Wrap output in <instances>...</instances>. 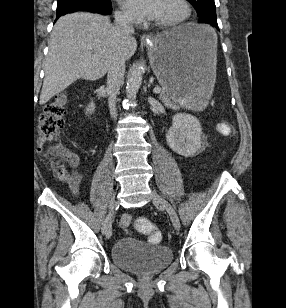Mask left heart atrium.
I'll return each instance as SVG.
<instances>
[{
	"mask_svg": "<svg viewBox=\"0 0 286 308\" xmlns=\"http://www.w3.org/2000/svg\"><path fill=\"white\" fill-rule=\"evenodd\" d=\"M160 0H121L122 5L137 18L155 19Z\"/></svg>",
	"mask_w": 286,
	"mask_h": 308,
	"instance_id": "left-heart-atrium-1",
	"label": "left heart atrium"
}]
</instances>
